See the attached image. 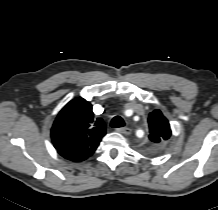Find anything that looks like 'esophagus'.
Wrapping results in <instances>:
<instances>
[{"mask_svg":"<svg viewBox=\"0 0 218 210\" xmlns=\"http://www.w3.org/2000/svg\"><path fill=\"white\" fill-rule=\"evenodd\" d=\"M117 132L128 135L130 134V129L128 127H122V128H118Z\"/></svg>","mask_w":218,"mask_h":210,"instance_id":"34e87169","label":"esophagus"}]
</instances>
